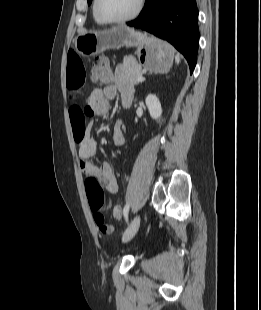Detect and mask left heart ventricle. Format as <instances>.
Listing matches in <instances>:
<instances>
[{"label":"left heart ventricle","instance_id":"left-heart-ventricle-1","mask_svg":"<svg viewBox=\"0 0 261 310\" xmlns=\"http://www.w3.org/2000/svg\"><path fill=\"white\" fill-rule=\"evenodd\" d=\"M137 0H99V10L107 18H122L135 9Z\"/></svg>","mask_w":261,"mask_h":310}]
</instances>
